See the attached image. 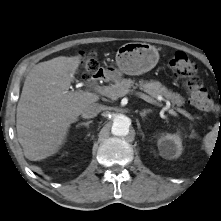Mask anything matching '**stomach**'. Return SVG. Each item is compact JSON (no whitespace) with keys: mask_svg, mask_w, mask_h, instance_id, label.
<instances>
[{"mask_svg":"<svg viewBox=\"0 0 221 221\" xmlns=\"http://www.w3.org/2000/svg\"><path fill=\"white\" fill-rule=\"evenodd\" d=\"M158 60L159 53L154 46L140 42L126 43L117 51V68L111 67L109 72L114 79H120L122 74L141 75L154 68Z\"/></svg>","mask_w":221,"mask_h":221,"instance_id":"1","label":"stomach"}]
</instances>
